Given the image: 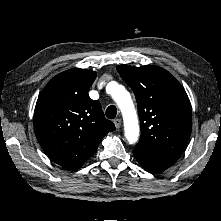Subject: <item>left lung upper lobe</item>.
Listing matches in <instances>:
<instances>
[{
	"label": "left lung upper lobe",
	"instance_id": "obj_1",
	"mask_svg": "<svg viewBox=\"0 0 221 221\" xmlns=\"http://www.w3.org/2000/svg\"><path fill=\"white\" fill-rule=\"evenodd\" d=\"M117 70L133 90L141 123L135 149L177 161L191 134L192 111L180 83L165 69L119 65Z\"/></svg>",
	"mask_w": 221,
	"mask_h": 221
}]
</instances>
